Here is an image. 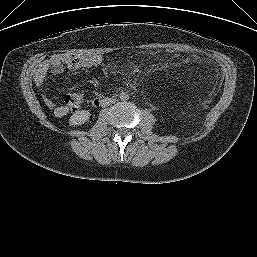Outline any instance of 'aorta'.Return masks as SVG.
<instances>
[{
    "instance_id": "762f6f07",
    "label": "aorta",
    "mask_w": 257,
    "mask_h": 257,
    "mask_svg": "<svg viewBox=\"0 0 257 257\" xmlns=\"http://www.w3.org/2000/svg\"><path fill=\"white\" fill-rule=\"evenodd\" d=\"M130 98L129 94L127 92H121L120 93V99L123 101H127Z\"/></svg>"
}]
</instances>
